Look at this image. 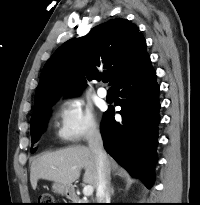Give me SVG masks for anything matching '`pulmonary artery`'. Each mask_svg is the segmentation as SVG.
<instances>
[{"label": "pulmonary artery", "mask_w": 200, "mask_h": 205, "mask_svg": "<svg viewBox=\"0 0 200 205\" xmlns=\"http://www.w3.org/2000/svg\"><path fill=\"white\" fill-rule=\"evenodd\" d=\"M97 94H98V96L101 97V98H106V96H107V90H106L105 88H103V87H100V88H98V90H97Z\"/></svg>", "instance_id": "pulmonary-artery-1"}]
</instances>
